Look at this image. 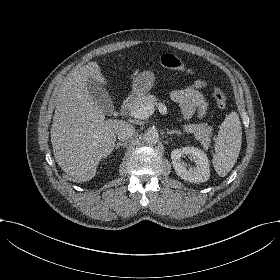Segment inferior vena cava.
<instances>
[{
    "instance_id": "602c4592",
    "label": "inferior vena cava",
    "mask_w": 280,
    "mask_h": 280,
    "mask_svg": "<svg viewBox=\"0 0 280 280\" xmlns=\"http://www.w3.org/2000/svg\"><path fill=\"white\" fill-rule=\"evenodd\" d=\"M135 133V128L131 124H123L119 127L117 135L118 139L121 141H127L129 138H131Z\"/></svg>"
}]
</instances>
